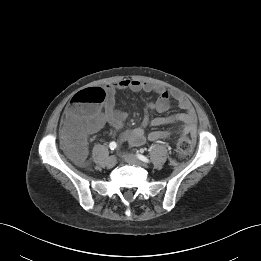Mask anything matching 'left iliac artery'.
<instances>
[{
    "label": "left iliac artery",
    "mask_w": 261,
    "mask_h": 261,
    "mask_svg": "<svg viewBox=\"0 0 261 261\" xmlns=\"http://www.w3.org/2000/svg\"><path fill=\"white\" fill-rule=\"evenodd\" d=\"M137 157H138L139 160H141V161H143L145 163H149L150 162V160L147 157H145L144 155H142V154H137Z\"/></svg>",
    "instance_id": "left-iliac-artery-1"
}]
</instances>
